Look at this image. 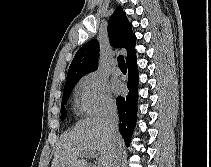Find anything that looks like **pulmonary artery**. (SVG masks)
<instances>
[{
  "mask_svg": "<svg viewBox=\"0 0 211 167\" xmlns=\"http://www.w3.org/2000/svg\"><path fill=\"white\" fill-rule=\"evenodd\" d=\"M111 74L114 75V76H119L120 75V70L116 66V64H114L113 67L111 68Z\"/></svg>",
  "mask_w": 211,
  "mask_h": 167,
  "instance_id": "e3ab8cb5",
  "label": "pulmonary artery"
}]
</instances>
